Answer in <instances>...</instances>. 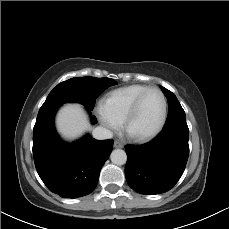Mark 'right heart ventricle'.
I'll return each mask as SVG.
<instances>
[{
	"instance_id": "1",
	"label": "right heart ventricle",
	"mask_w": 229,
	"mask_h": 229,
	"mask_svg": "<svg viewBox=\"0 0 229 229\" xmlns=\"http://www.w3.org/2000/svg\"><path fill=\"white\" fill-rule=\"evenodd\" d=\"M148 88L150 86L132 84L112 90L103 99L104 109L113 119L120 123L124 120L134 99Z\"/></svg>"
}]
</instances>
